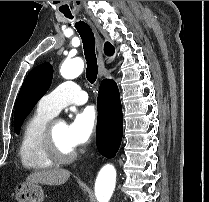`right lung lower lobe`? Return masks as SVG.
Returning a JSON list of instances; mask_svg holds the SVG:
<instances>
[{"instance_id":"1","label":"right lung lower lobe","mask_w":209,"mask_h":202,"mask_svg":"<svg viewBox=\"0 0 209 202\" xmlns=\"http://www.w3.org/2000/svg\"><path fill=\"white\" fill-rule=\"evenodd\" d=\"M97 104V148L103 156L113 158L120 147L123 135L122 107L115 82H101Z\"/></svg>"}]
</instances>
